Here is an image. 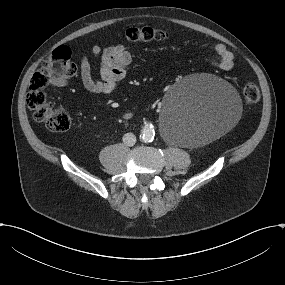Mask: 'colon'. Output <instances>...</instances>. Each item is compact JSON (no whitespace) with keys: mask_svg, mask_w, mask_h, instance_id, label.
I'll list each match as a JSON object with an SVG mask.
<instances>
[{"mask_svg":"<svg viewBox=\"0 0 285 285\" xmlns=\"http://www.w3.org/2000/svg\"><path fill=\"white\" fill-rule=\"evenodd\" d=\"M124 37L132 43L160 41L168 37V32L152 27H131L125 31ZM76 72L77 67L71 61L70 49L60 46L51 53L30 80L27 104L33 110L34 119L44 123L52 131L68 130L71 126V118L64 108L55 107L49 103L45 89L49 83L62 84ZM242 95L248 106L257 104L261 98L259 87L252 82L244 86Z\"/></svg>","mask_w":285,"mask_h":285,"instance_id":"5ec220e1","label":"colon"}]
</instances>
